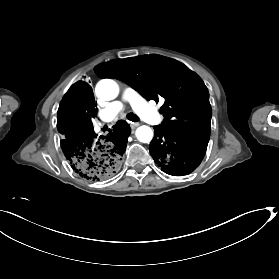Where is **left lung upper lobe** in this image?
I'll list each match as a JSON object with an SVG mask.
<instances>
[{
	"instance_id": "1",
	"label": "left lung upper lobe",
	"mask_w": 279,
	"mask_h": 279,
	"mask_svg": "<svg viewBox=\"0 0 279 279\" xmlns=\"http://www.w3.org/2000/svg\"><path fill=\"white\" fill-rule=\"evenodd\" d=\"M100 78H116L147 100H164L161 127L182 133L210 134L209 92L194 72L181 62L157 54L115 59L97 65Z\"/></svg>"
}]
</instances>
